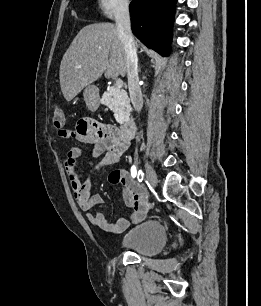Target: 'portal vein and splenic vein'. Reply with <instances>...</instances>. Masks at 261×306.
I'll return each mask as SVG.
<instances>
[{"label": "portal vein and splenic vein", "mask_w": 261, "mask_h": 306, "mask_svg": "<svg viewBox=\"0 0 261 306\" xmlns=\"http://www.w3.org/2000/svg\"><path fill=\"white\" fill-rule=\"evenodd\" d=\"M114 86L117 87V88H122L123 81L121 79H116L115 83H114Z\"/></svg>", "instance_id": "18ae733b"}]
</instances>
